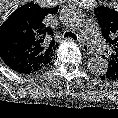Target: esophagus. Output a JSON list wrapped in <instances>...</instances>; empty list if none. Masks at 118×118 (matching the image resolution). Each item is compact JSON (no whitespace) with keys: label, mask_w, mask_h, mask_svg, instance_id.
Returning <instances> with one entry per match:
<instances>
[{"label":"esophagus","mask_w":118,"mask_h":118,"mask_svg":"<svg viewBox=\"0 0 118 118\" xmlns=\"http://www.w3.org/2000/svg\"><path fill=\"white\" fill-rule=\"evenodd\" d=\"M79 45L81 47V49L86 53V54H90L92 53L91 48L84 42H79Z\"/></svg>","instance_id":"obj_1"}]
</instances>
